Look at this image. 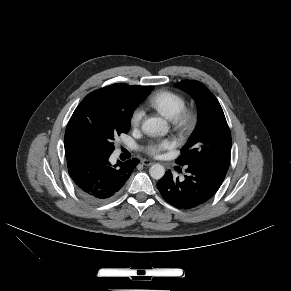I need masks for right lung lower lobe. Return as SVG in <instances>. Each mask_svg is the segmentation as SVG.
Segmentation results:
<instances>
[{
    "instance_id": "98d812e1",
    "label": "right lung lower lobe",
    "mask_w": 291,
    "mask_h": 291,
    "mask_svg": "<svg viewBox=\"0 0 291 291\" xmlns=\"http://www.w3.org/2000/svg\"><path fill=\"white\" fill-rule=\"evenodd\" d=\"M111 153L78 150L66 155L68 171L77 191L89 202L98 203L114 198L139 162L134 158L111 165Z\"/></svg>"
}]
</instances>
